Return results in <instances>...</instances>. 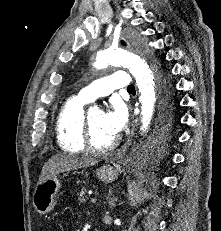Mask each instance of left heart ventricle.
<instances>
[{
  "mask_svg": "<svg viewBox=\"0 0 221 231\" xmlns=\"http://www.w3.org/2000/svg\"><path fill=\"white\" fill-rule=\"evenodd\" d=\"M103 116L104 113L100 110H94L89 114L92 139L98 147H105L116 138V135L105 128Z\"/></svg>",
  "mask_w": 221,
  "mask_h": 231,
  "instance_id": "1",
  "label": "left heart ventricle"
}]
</instances>
